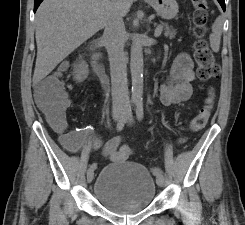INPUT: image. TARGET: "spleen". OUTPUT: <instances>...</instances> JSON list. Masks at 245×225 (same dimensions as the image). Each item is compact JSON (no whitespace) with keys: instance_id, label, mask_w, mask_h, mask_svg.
I'll return each mask as SVG.
<instances>
[{"instance_id":"1","label":"spleen","mask_w":245,"mask_h":225,"mask_svg":"<svg viewBox=\"0 0 245 225\" xmlns=\"http://www.w3.org/2000/svg\"><path fill=\"white\" fill-rule=\"evenodd\" d=\"M223 22L218 17L212 25V34L210 35V46L214 52H218L220 48L221 34H222Z\"/></svg>"}]
</instances>
